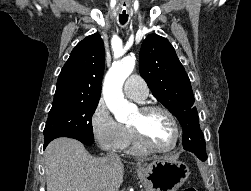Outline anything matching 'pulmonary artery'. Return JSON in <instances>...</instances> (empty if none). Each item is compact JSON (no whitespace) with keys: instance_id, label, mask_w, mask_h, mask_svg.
Segmentation results:
<instances>
[{"instance_id":"obj_1","label":"pulmonary artery","mask_w":251,"mask_h":191,"mask_svg":"<svg viewBox=\"0 0 251 191\" xmlns=\"http://www.w3.org/2000/svg\"><path fill=\"white\" fill-rule=\"evenodd\" d=\"M124 93L131 99L143 101L148 95L146 82L139 75H130L125 79Z\"/></svg>"}]
</instances>
